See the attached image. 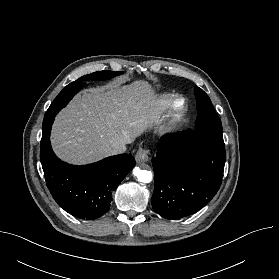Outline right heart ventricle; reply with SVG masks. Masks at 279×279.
<instances>
[{
  "label": "right heart ventricle",
  "mask_w": 279,
  "mask_h": 279,
  "mask_svg": "<svg viewBox=\"0 0 279 279\" xmlns=\"http://www.w3.org/2000/svg\"><path fill=\"white\" fill-rule=\"evenodd\" d=\"M172 99H173V95H171V94L161 95L156 101L157 111L163 112L167 108V106L169 105V103Z\"/></svg>",
  "instance_id": "right-heart-ventricle-1"
}]
</instances>
